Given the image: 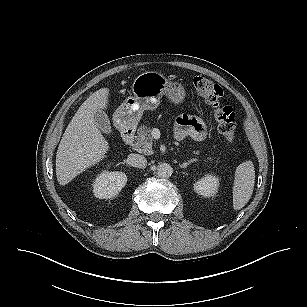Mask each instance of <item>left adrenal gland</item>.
Returning a JSON list of instances; mask_svg holds the SVG:
<instances>
[{
  "label": "left adrenal gland",
  "mask_w": 307,
  "mask_h": 307,
  "mask_svg": "<svg viewBox=\"0 0 307 307\" xmlns=\"http://www.w3.org/2000/svg\"><path fill=\"white\" fill-rule=\"evenodd\" d=\"M195 161V159H193V160H189L188 162H185V163H183V164H181V165H179L181 168H187V166L189 165V164H191L192 162H194Z\"/></svg>",
  "instance_id": "a2214340"
}]
</instances>
